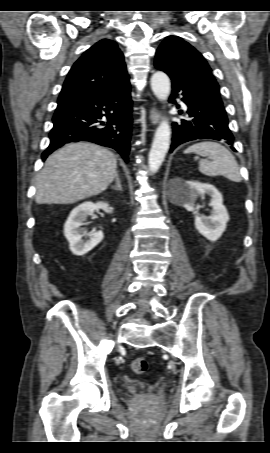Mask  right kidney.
Segmentation results:
<instances>
[{
  "label": "right kidney",
  "mask_w": 270,
  "mask_h": 453,
  "mask_svg": "<svg viewBox=\"0 0 270 453\" xmlns=\"http://www.w3.org/2000/svg\"><path fill=\"white\" fill-rule=\"evenodd\" d=\"M96 209H102L107 213L112 212V208L109 207L108 203L98 202L94 204L92 202H84L71 211L64 224V235L69 242V248L77 256H83L92 250L104 237L102 231H95L90 235L89 239L82 240L84 229L81 226Z\"/></svg>",
  "instance_id": "right-kidney-1"
}]
</instances>
